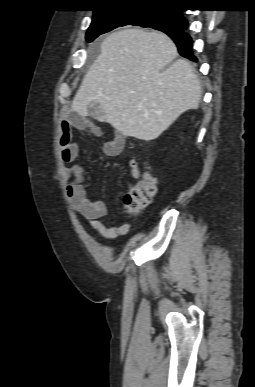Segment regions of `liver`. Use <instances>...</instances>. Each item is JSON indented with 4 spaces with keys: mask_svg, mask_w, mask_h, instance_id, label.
Returning <instances> with one entry per match:
<instances>
[{
    "mask_svg": "<svg viewBox=\"0 0 255 387\" xmlns=\"http://www.w3.org/2000/svg\"><path fill=\"white\" fill-rule=\"evenodd\" d=\"M177 48L164 33L124 29L108 35L71 105L88 109L124 136L151 141L182 113L197 109L201 86L191 64L174 61ZM174 61V62H173Z\"/></svg>",
    "mask_w": 255,
    "mask_h": 387,
    "instance_id": "6515ba94",
    "label": "liver"
}]
</instances>
